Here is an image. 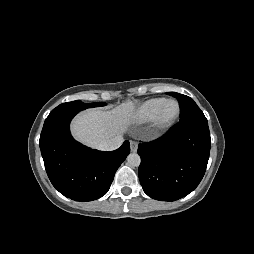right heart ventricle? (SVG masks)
I'll return each instance as SVG.
<instances>
[{"mask_svg":"<svg viewBox=\"0 0 254 254\" xmlns=\"http://www.w3.org/2000/svg\"><path fill=\"white\" fill-rule=\"evenodd\" d=\"M164 98H153L143 102L133 113L132 120L136 124H146L156 117L165 103Z\"/></svg>","mask_w":254,"mask_h":254,"instance_id":"obj_1","label":"right heart ventricle"}]
</instances>
